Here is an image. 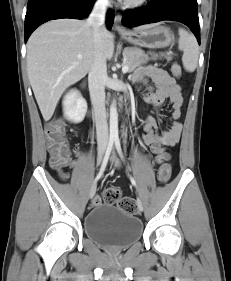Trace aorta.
Instances as JSON below:
<instances>
[{"label":"aorta","mask_w":231,"mask_h":281,"mask_svg":"<svg viewBox=\"0 0 231 281\" xmlns=\"http://www.w3.org/2000/svg\"><path fill=\"white\" fill-rule=\"evenodd\" d=\"M110 136L118 137V112L116 103L113 101L110 106Z\"/></svg>","instance_id":"obj_1"}]
</instances>
